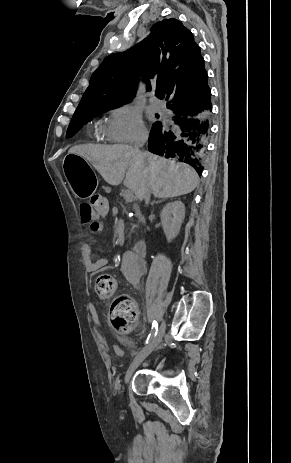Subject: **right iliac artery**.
Here are the masks:
<instances>
[{
  "instance_id": "82829eb1",
  "label": "right iliac artery",
  "mask_w": 291,
  "mask_h": 463,
  "mask_svg": "<svg viewBox=\"0 0 291 463\" xmlns=\"http://www.w3.org/2000/svg\"><path fill=\"white\" fill-rule=\"evenodd\" d=\"M157 331H158V323H157V321H153V323H152V330H151V333L149 334V336H148V338H147L146 343H148L149 341H151V339H152L154 336H156Z\"/></svg>"
}]
</instances>
